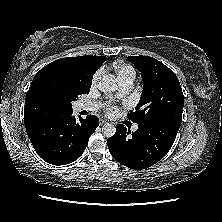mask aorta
<instances>
[{
	"instance_id": "obj_1",
	"label": "aorta",
	"mask_w": 222,
	"mask_h": 222,
	"mask_svg": "<svg viewBox=\"0 0 222 222\" xmlns=\"http://www.w3.org/2000/svg\"><path fill=\"white\" fill-rule=\"evenodd\" d=\"M98 89L104 93H111L117 89V84L112 75L105 76L99 83ZM116 132V127L111 123H106L102 127V133L105 137L110 138Z\"/></svg>"
}]
</instances>
